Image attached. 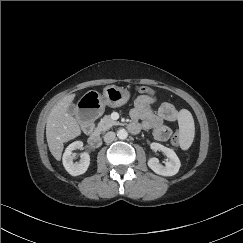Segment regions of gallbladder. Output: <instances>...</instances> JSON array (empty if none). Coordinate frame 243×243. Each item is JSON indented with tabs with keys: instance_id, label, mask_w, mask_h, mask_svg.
<instances>
[{
	"instance_id": "obj_1",
	"label": "gallbladder",
	"mask_w": 243,
	"mask_h": 243,
	"mask_svg": "<svg viewBox=\"0 0 243 243\" xmlns=\"http://www.w3.org/2000/svg\"><path fill=\"white\" fill-rule=\"evenodd\" d=\"M67 112L70 114V115H75L77 113V107L74 105V104H70L67 108Z\"/></svg>"
}]
</instances>
